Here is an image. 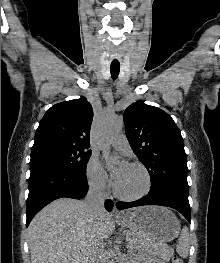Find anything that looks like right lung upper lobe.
<instances>
[{
  "instance_id": "cb5924a9",
  "label": "right lung upper lobe",
  "mask_w": 220,
  "mask_h": 263,
  "mask_svg": "<svg viewBox=\"0 0 220 263\" xmlns=\"http://www.w3.org/2000/svg\"><path fill=\"white\" fill-rule=\"evenodd\" d=\"M93 109L85 97L47 110L36 130L32 152L50 148H89Z\"/></svg>"
}]
</instances>
